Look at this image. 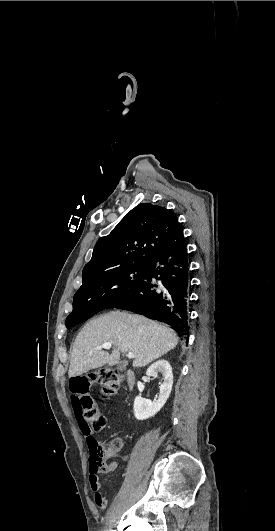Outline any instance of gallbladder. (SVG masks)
<instances>
[{
	"mask_svg": "<svg viewBox=\"0 0 275 531\" xmlns=\"http://www.w3.org/2000/svg\"><path fill=\"white\" fill-rule=\"evenodd\" d=\"M126 365H127L126 361H121V363H118L117 365L118 371H125Z\"/></svg>",
	"mask_w": 275,
	"mask_h": 531,
	"instance_id": "bac80fb5",
	"label": "gallbladder"
}]
</instances>
